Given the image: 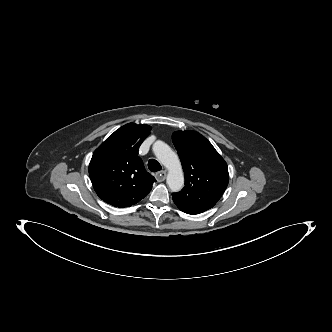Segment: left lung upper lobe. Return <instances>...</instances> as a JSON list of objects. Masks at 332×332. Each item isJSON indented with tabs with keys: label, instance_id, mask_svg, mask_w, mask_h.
I'll use <instances>...</instances> for the list:
<instances>
[{
	"label": "left lung upper lobe",
	"instance_id": "1",
	"mask_svg": "<svg viewBox=\"0 0 332 332\" xmlns=\"http://www.w3.org/2000/svg\"><path fill=\"white\" fill-rule=\"evenodd\" d=\"M172 141L185 175V186L172 194L173 201L192 211L205 212L218 202L228 185L227 164L198 132H174Z\"/></svg>",
	"mask_w": 332,
	"mask_h": 332
}]
</instances>
